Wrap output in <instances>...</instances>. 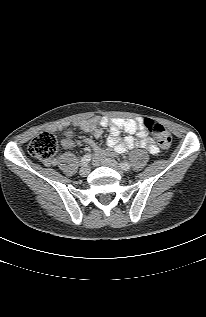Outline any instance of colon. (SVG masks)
<instances>
[{
	"label": "colon",
	"instance_id": "colon-1",
	"mask_svg": "<svg viewBox=\"0 0 206 317\" xmlns=\"http://www.w3.org/2000/svg\"><path fill=\"white\" fill-rule=\"evenodd\" d=\"M146 131L151 133L162 147H168L171 143V135L160 123L152 119L143 121ZM58 149L56 137L49 131H42L35 136L28 145L29 153L43 161H49L54 157Z\"/></svg>",
	"mask_w": 206,
	"mask_h": 317
}]
</instances>
